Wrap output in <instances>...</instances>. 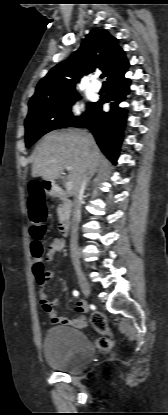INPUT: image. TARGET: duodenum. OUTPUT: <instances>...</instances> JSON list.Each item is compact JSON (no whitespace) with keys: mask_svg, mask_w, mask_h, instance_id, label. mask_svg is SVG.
<instances>
[{"mask_svg":"<svg viewBox=\"0 0 168 415\" xmlns=\"http://www.w3.org/2000/svg\"><path fill=\"white\" fill-rule=\"evenodd\" d=\"M43 189L51 196L57 199H63L65 197L62 189L54 182L43 180L41 182ZM70 221L67 217H62L58 223V231L62 236H67L69 234Z\"/></svg>","mask_w":168,"mask_h":415,"instance_id":"1","label":"duodenum"}]
</instances>
